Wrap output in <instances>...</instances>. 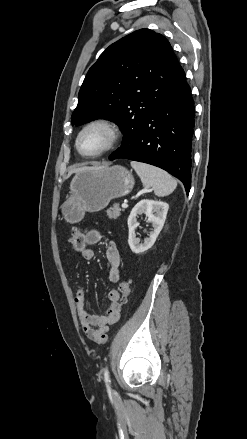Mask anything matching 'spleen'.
<instances>
[{"instance_id":"1","label":"spleen","mask_w":247,"mask_h":439,"mask_svg":"<svg viewBox=\"0 0 247 439\" xmlns=\"http://www.w3.org/2000/svg\"><path fill=\"white\" fill-rule=\"evenodd\" d=\"M131 167L140 177L143 186L152 188L158 197L171 194L177 187V181L158 167L137 161H132Z\"/></svg>"}]
</instances>
